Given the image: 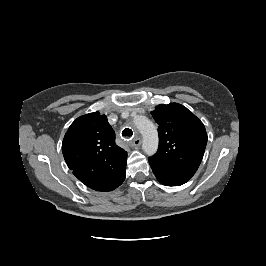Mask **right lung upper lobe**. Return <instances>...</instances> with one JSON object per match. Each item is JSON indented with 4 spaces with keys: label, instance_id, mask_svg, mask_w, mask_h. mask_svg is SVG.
Masks as SVG:
<instances>
[{
    "label": "right lung upper lobe",
    "instance_id": "right-lung-upper-lobe-1",
    "mask_svg": "<svg viewBox=\"0 0 266 266\" xmlns=\"http://www.w3.org/2000/svg\"><path fill=\"white\" fill-rule=\"evenodd\" d=\"M62 152L73 174L91 189L111 191L125 179L127 152L116 145L114 130L98 111L70 125Z\"/></svg>",
    "mask_w": 266,
    "mask_h": 266
}]
</instances>
